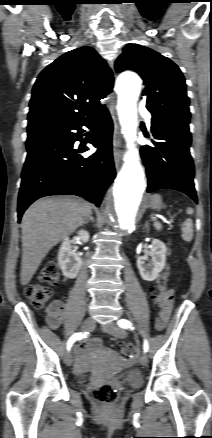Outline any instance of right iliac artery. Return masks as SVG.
<instances>
[{
	"mask_svg": "<svg viewBox=\"0 0 212 438\" xmlns=\"http://www.w3.org/2000/svg\"><path fill=\"white\" fill-rule=\"evenodd\" d=\"M88 334H89L88 332H84V333H82V332L74 333V334L69 338V340L67 341V350L70 351V349H71L73 343H74L76 340H81V339H83V338H86V337L88 336Z\"/></svg>",
	"mask_w": 212,
	"mask_h": 438,
	"instance_id": "82829eb1",
	"label": "right iliac artery"
}]
</instances>
